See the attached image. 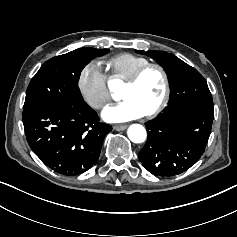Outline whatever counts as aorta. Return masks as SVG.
Here are the masks:
<instances>
[{
    "label": "aorta",
    "mask_w": 237,
    "mask_h": 237,
    "mask_svg": "<svg viewBox=\"0 0 237 237\" xmlns=\"http://www.w3.org/2000/svg\"><path fill=\"white\" fill-rule=\"evenodd\" d=\"M127 134L133 143H142L147 138L146 129L140 124L130 125Z\"/></svg>",
    "instance_id": "1"
}]
</instances>
